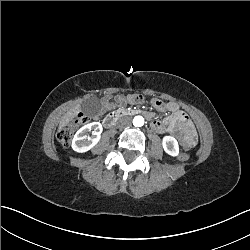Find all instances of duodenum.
Instances as JSON below:
<instances>
[{"label": "duodenum", "mask_w": 250, "mask_h": 250, "mask_svg": "<svg viewBox=\"0 0 250 250\" xmlns=\"http://www.w3.org/2000/svg\"><path fill=\"white\" fill-rule=\"evenodd\" d=\"M143 113L145 116L149 117V114L147 112L144 111H127L124 109H116L112 112H110L105 120H104V127L107 129L113 128L116 124L117 121H119L120 119H122L125 116H134L136 114H140Z\"/></svg>", "instance_id": "duodenum-1"}]
</instances>
